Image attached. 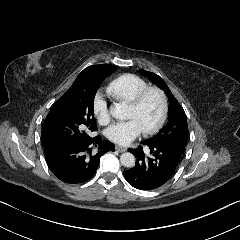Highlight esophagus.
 Returning <instances> with one entry per match:
<instances>
[{"mask_svg": "<svg viewBox=\"0 0 240 240\" xmlns=\"http://www.w3.org/2000/svg\"><path fill=\"white\" fill-rule=\"evenodd\" d=\"M116 150H117L118 152H120V153H123V152H126V151H127V148L124 147V146H119V145H117V146H116Z\"/></svg>", "mask_w": 240, "mask_h": 240, "instance_id": "esophagus-1", "label": "esophagus"}]
</instances>
